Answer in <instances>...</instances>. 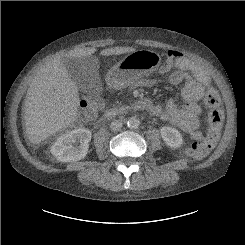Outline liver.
<instances>
[{
  "mask_svg": "<svg viewBox=\"0 0 245 245\" xmlns=\"http://www.w3.org/2000/svg\"><path fill=\"white\" fill-rule=\"evenodd\" d=\"M136 51L133 47H113L101 55H120ZM96 48L71 50L62 57L47 62L33 78L25 99V128L33 144L44 141L77 119L79 90L69 76L65 62L72 58L88 57Z\"/></svg>",
  "mask_w": 245,
  "mask_h": 245,
  "instance_id": "1",
  "label": "liver"
}]
</instances>
